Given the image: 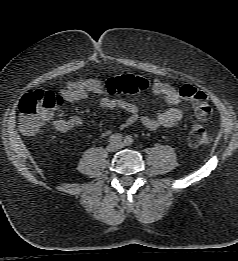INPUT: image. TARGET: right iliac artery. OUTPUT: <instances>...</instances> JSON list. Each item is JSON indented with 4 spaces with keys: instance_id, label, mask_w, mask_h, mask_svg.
Listing matches in <instances>:
<instances>
[{
    "instance_id": "obj_1",
    "label": "right iliac artery",
    "mask_w": 238,
    "mask_h": 261,
    "mask_svg": "<svg viewBox=\"0 0 238 261\" xmlns=\"http://www.w3.org/2000/svg\"><path fill=\"white\" fill-rule=\"evenodd\" d=\"M122 139H123L122 134L115 133L112 136H110L109 142L111 144H117V143H120L122 141Z\"/></svg>"
}]
</instances>
